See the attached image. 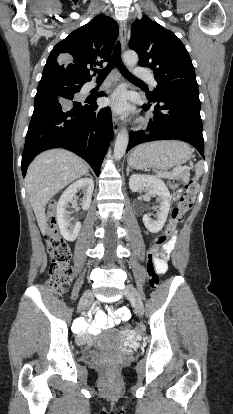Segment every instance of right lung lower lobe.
Masks as SVG:
<instances>
[{
  "label": "right lung lower lobe",
  "instance_id": "right-lung-lower-lobe-1",
  "mask_svg": "<svg viewBox=\"0 0 233 414\" xmlns=\"http://www.w3.org/2000/svg\"><path fill=\"white\" fill-rule=\"evenodd\" d=\"M104 92L76 101L75 94L52 91L37 92L34 112L26 134L22 153V173L40 152L65 148L85 159L99 176L104 155L113 138L109 107L96 103Z\"/></svg>",
  "mask_w": 233,
  "mask_h": 414
}]
</instances>
